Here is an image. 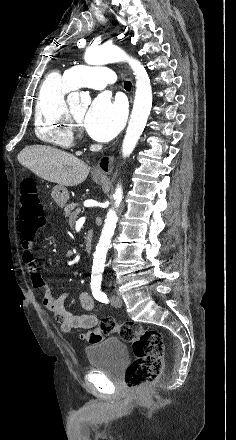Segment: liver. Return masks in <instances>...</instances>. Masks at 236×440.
I'll return each instance as SVG.
<instances>
[{
	"label": "liver",
	"mask_w": 236,
	"mask_h": 440,
	"mask_svg": "<svg viewBox=\"0 0 236 440\" xmlns=\"http://www.w3.org/2000/svg\"><path fill=\"white\" fill-rule=\"evenodd\" d=\"M17 159L38 177L63 187L81 184L90 172V167L74 155L50 146H27Z\"/></svg>",
	"instance_id": "6515ba94"
}]
</instances>
